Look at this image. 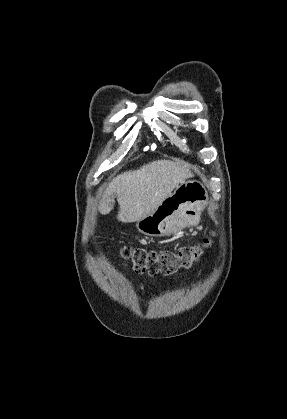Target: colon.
Masks as SVG:
<instances>
[{"mask_svg":"<svg viewBox=\"0 0 287 419\" xmlns=\"http://www.w3.org/2000/svg\"><path fill=\"white\" fill-rule=\"evenodd\" d=\"M210 243V239L205 238L201 244L182 247L177 251L146 250L125 246L122 255L131 262L133 270L137 273L168 276L180 269L191 267L200 256L202 248Z\"/></svg>","mask_w":287,"mask_h":419,"instance_id":"obj_1","label":"colon"}]
</instances>
